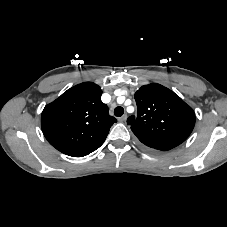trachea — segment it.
<instances>
[{"mask_svg": "<svg viewBox=\"0 0 227 227\" xmlns=\"http://www.w3.org/2000/svg\"><path fill=\"white\" fill-rule=\"evenodd\" d=\"M123 113H124V109L121 106L116 107L114 110V114L117 117H121L123 115Z\"/></svg>", "mask_w": 227, "mask_h": 227, "instance_id": "1", "label": "trachea"}]
</instances>
